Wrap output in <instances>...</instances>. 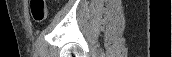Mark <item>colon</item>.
<instances>
[{
    "label": "colon",
    "mask_w": 172,
    "mask_h": 57,
    "mask_svg": "<svg viewBox=\"0 0 172 57\" xmlns=\"http://www.w3.org/2000/svg\"><path fill=\"white\" fill-rule=\"evenodd\" d=\"M31 15L36 22H42L47 17V7L44 0L30 1Z\"/></svg>",
    "instance_id": "obj_1"
}]
</instances>
